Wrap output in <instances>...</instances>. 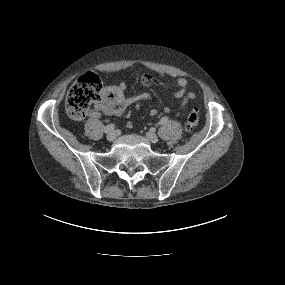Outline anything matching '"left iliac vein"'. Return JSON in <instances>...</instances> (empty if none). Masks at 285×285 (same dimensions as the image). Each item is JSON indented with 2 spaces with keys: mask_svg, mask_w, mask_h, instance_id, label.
Listing matches in <instances>:
<instances>
[{
  "mask_svg": "<svg viewBox=\"0 0 285 285\" xmlns=\"http://www.w3.org/2000/svg\"><path fill=\"white\" fill-rule=\"evenodd\" d=\"M146 137H147V139H149L152 143H156V142H158V140H159L158 136H157L155 133H153V132H148V133H146Z\"/></svg>",
  "mask_w": 285,
  "mask_h": 285,
  "instance_id": "obj_1",
  "label": "left iliac vein"
}]
</instances>
